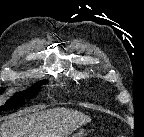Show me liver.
I'll list each match as a JSON object with an SVG mask.
<instances>
[{"label": "liver", "instance_id": "obj_1", "mask_svg": "<svg viewBox=\"0 0 144 137\" xmlns=\"http://www.w3.org/2000/svg\"><path fill=\"white\" fill-rule=\"evenodd\" d=\"M91 118L79 111L57 107L17 113L1 124L0 137H68Z\"/></svg>", "mask_w": 144, "mask_h": 137}]
</instances>
